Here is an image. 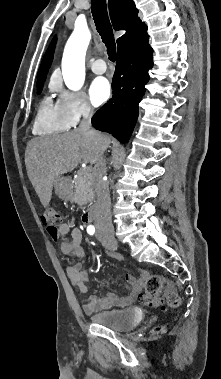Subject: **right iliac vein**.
I'll return each instance as SVG.
<instances>
[{
  "mask_svg": "<svg viewBox=\"0 0 221 379\" xmlns=\"http://www.w3.org/2000/svg\"><path fill=\"white\" fill-rule=\"evenodd\" d=\"M108 242H111V243H116V240L114 238H110L107 240Z\"/></svg>",
  "mask_w": 221,
  "mask_h": 379,
  "instance_id": "right-iliac-vein-1",
  "label": "right iliac vein"
}]
</instances>
